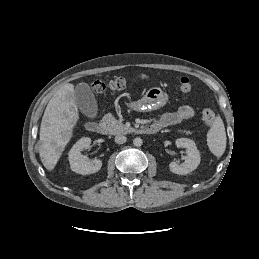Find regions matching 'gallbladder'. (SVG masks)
Here are the masks:
<instances>
[{"label": "gallbladder", "mask_w": 259, "mask_h": 259, "mask_svg": "<svg viewBox=\"0 0 259 259\" xmlns=\"http://www.w3.org/2000/svg\"><path fill=\"white\" fill-rule=\"evenodd\" d=\"M75 101L80 111L89 118L98 115V105L94 94L86 83H79L75 88Z\"/></svg>", "instance_id": "bac80fb5"}]
</instances>
